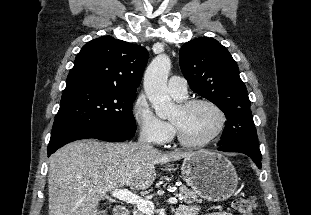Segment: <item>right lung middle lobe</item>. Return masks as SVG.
<instances>
[{
	"label": "right lung middle lobe",
	"mask_w": 311,
	"mask_h": 215,
	"mask_svg": "<svg viewBox=\"0 0 311 215\" xmlns=\"http://www.w3.org/2000/svg\"><path fill=\"white\" fill-rule=\"evenodd\" d=\"M136 92L89 84L67 86L52 133L77 128L136 130L132 103Z\"/></svg>",
	"instance_id": "dd1d6c3e"
}]
</instances>
